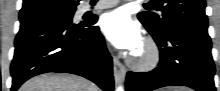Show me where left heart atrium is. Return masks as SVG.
<instances>
[{"instance_id":"1","label":"left heart atrium","mask_w":220,"mask_h":91,"mask_svg":"<svg viewBox=\"0 0 220 91\" xmlns=\"http://www.w3.org/2000/svg\"><path fill=\"white\" fill-rule=\"evenodd\" d=\"M100 26L109 41L119 49L136 52L142 45L139 26L125 9L104 14Z\"/></svg>"}]
</instances>
